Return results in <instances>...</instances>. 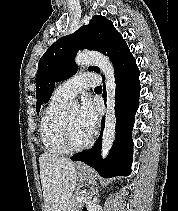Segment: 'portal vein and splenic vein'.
Masks as SVG:
<instances>
[{"mask_svg": "<svg viewBox=\"0 0 178 211\" xmlns=\"http://www.w3.org/2000/svg\"><path fill=\"white\" fill-rule=\"evenodd\" d=\"M84 200H85V198L84 197H81V198L78 199V202H82Z\"/></svg>", "mask_w": 178, "mask_h": 211, "instance_id": "obj_1", "label": "portal vein and splenic vein"}]
</instances>
